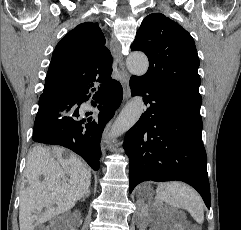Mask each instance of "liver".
Masks as SVG:
<instances>
[{"label":"liver","instance_id":"liver-1","mask_svg":"<svg viewBox=\"0 0 241 230\" xmlns=\"http://www.w3.org/2000/svg\"><path fill=\"white\" fill-rule=\"evenodd\" d=\"M63 153L61 148L43 146H35L29 152L20 195V230H33L35 221L43 223L70 210L86 195L90 170L74 154L68 153L64 158Z\"/></svg>","mask_w":241,"mask_h":230}]
</instances>
